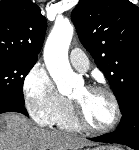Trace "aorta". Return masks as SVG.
Here are the masks:
<instances>
[{
	"label": "aorta",
	"mask_w": 139,
	"mask_h": 150,
	"mask_svg": "<svg viewBox=\"0 0 139 150\" xmlns=\"http://www.w3.org/2000/svg\"><path fill=\"white\" fill-rule=\"evenodd\" d=\"M73 26L65 20H57L44 48V61L50 76L62 95H70L76 84V75L68 60V49L73 36Z\"/></svg>",
	"instance_id": "aorta-1"
}]
</instances>
